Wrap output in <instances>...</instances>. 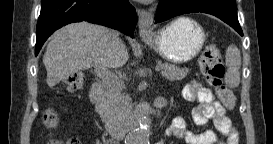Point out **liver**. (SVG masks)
Returning a JSON list of instances; mask_svg holds the SVG:
<instances>
[{
	"mask_svg": "<svg viewBox=\"0 0 273 144\" xmlns=\"http://www.w3.org/2000/svg\"><path fill=\"white\" fill-rule=\"evenodd\" d=\"M128 58L121 39L117 47H113L109 29L80 22L66 25L51 36L43 63L47 71V84L54 87L84 69L120 68Z\"/></svg>",
	"mask_w": 273,
	"mask_h": 144,
	"instance_id": "1",
	"label": "liver"
}]
</instances>
